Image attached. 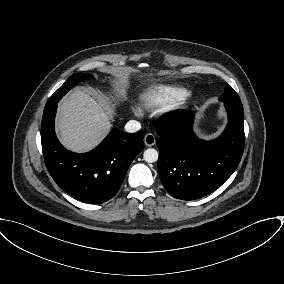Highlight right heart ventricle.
<instances>
[{"label":"right heart ventricle","instance_id":"obj_1","mask_svg":"<svg viewBox=\"0 0 284 284\" xmlns=\"http://www.w3.org/2000/svg\"><path fill=\"white\" fill-rule=\"evenodd\" d=\"M187 89L172 85H155L140 96L141 105L146 109L160 108L178 104L185 100Z\"/></svg>","mask_w":284,"mask_h":284}]
</instances>
